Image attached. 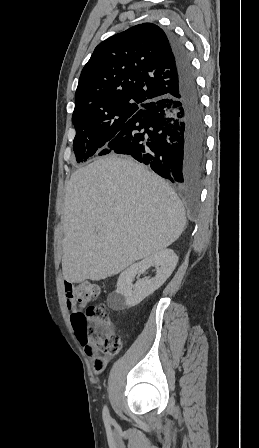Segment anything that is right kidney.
Returning a JSON list of instances; mask_svg holds the SVG:
<instances>
[{
    "instance_id": "1",
    "label": "right kidney",
    "mask_w": 259,
    "mask_h": 448,
    "mask_svg": "<svg viewBox=\"0 0 259 448\" xmlns=\"http://www.w3.org/2000/svg\"><path fill=\"white\" fill-rule=\"evenodd\" d=\"M177 262L178 256H176L173 250H160V252L145 258L142 262L133 264V266H130V268H127L125 272L120 274L117 290L109 294L107 298L108 306L112 310H125V308L137 306L144 298L153 294L155 290H158L166 282L167 278L174 272ZM151 266H157V268L160 266L154 278H150V280L143 278V280H138L136 284H132L137 274H143Z\"/></svg>"
}]
</instances>
